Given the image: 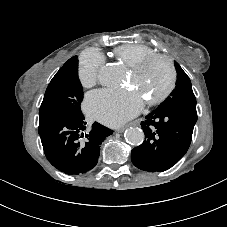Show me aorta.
<instances>
[{"label": "aorta", "instance_id": "aorta-1", "mask_svg": "<svg viewBox=\"0 0 227 227\" xmlns=\"http://www.w3.org/2000/svg\"><path fill=\"white\" fill-rule=\"evenodd\" d=\"M99 80L104 85H115L121 80V72L118 65L109 63L101 67ZM125 139L132 145L138 146L144 141V132L137 127H130L125 131Z\"/></svg>", "mask_w": 227, "mask_h": 227}]
</instances>
